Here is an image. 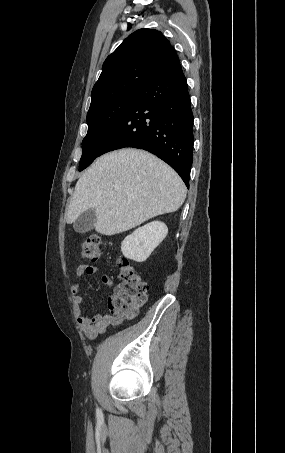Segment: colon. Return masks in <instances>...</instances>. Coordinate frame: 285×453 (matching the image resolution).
<instances>
[{"instance_id": "5ec220e1", "label": "colon", "mask_w": 285, "mask_h": 453, "mask_svg": "<svg viewBox=\"0 0 285 453\" xmlns=\"http://www.w3.org/2000/svg\"><path fill=\"white\" fill-rule=\"evenodd\" d=\"M101 237L92 234L86 237L81 245L83 258L97 261L101 256ZM120 283L116 287L114 299L119 311L125 317H134L147 301L149 286L142 276L125 258L117 259Z\"/></svg>"}]
</instances>
